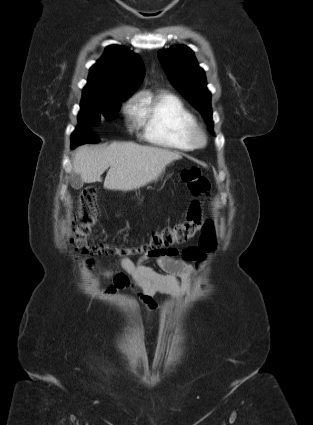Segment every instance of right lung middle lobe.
Wrapping results in <instances>:
<instances>
[{
	"instance_id": "1",
	"label": "right lung middle lobe",
	"mask_w": 313,
	"mask_h": 425,
	"mask_svg": "<svg viewBox=\"0 0 313 425\" xmlns=\"http://www.w3.org/2000/svg\"><path fill=\"white\" fill-rule=\"evenodd\" d=\"M129 95L111 94L100 99L87 100L81 102V110L78 114V122L80 127L95 126L102 118L110 119L117 115L120 109V102L126 100ZM85 142L79 137L71 136V146L75 147Z\"/></svg>"
}]
</instances>
